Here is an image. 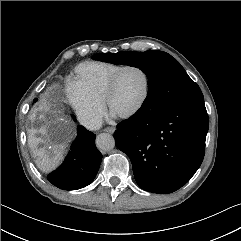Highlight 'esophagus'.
<instances>
[{
	"mask_svg": "<svg viewBox=\"0 0 241 241\" xmlns=\"http://www.w3.org/2000/svg\"><path fill=\"white\" fill-rule=\"evenodd\" d=\"M105 132H108V133H113L115 131V128L114 127H107L104 129Z\"/></svg>",
	"mask_w": 241,
	"mask_h": 241,
	"instance_id": "1",
	"label": "esophagus"
}]
</instances>
